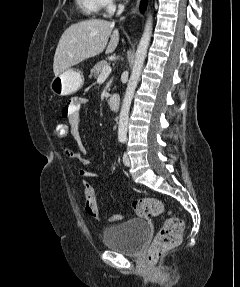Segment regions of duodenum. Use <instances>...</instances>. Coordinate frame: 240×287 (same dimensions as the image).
Listing matches in <instances>:
<instances>
[{
    "mask_svg": "<svg viewBox=\"0 0 240 287\" xmlns=\"http://www.w3.org/2000/svg\"><path fill=\"white\" fill-rule=\"evenodd\" d=\"M108 105L112 110H117L120 105V96L118 94H112L108 98Z\"/></svg>",
    "mask_w": 240,
    "mask_h": 287,
    "instance_id": "obj_1",
    "label": "duodenum"
}]
</instances>
